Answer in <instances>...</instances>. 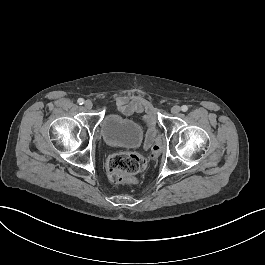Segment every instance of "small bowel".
Instances as JSON below:
<instances>
[{"label": "small bowel", "mask_w": 265, "mask_h": 265, "mask_svg": "<svg viewBox=\"0 0 265 265\" xmlns=\"http://www.w3.org/2000/svg\"><path fill=\"white\" fill-rule=\"evenodd\" d=\"M117 107L122 112H130L131 110L137 111L141 114V118L146 123V137L143 143L145 149L150 148L155 138V121L158 119L157 111L151 107L148 103L142 104V100L139 97H134L129 101V98L125 95H120L116 98Z\"/></svg>", "instance_id": "1"}]
</instances>
